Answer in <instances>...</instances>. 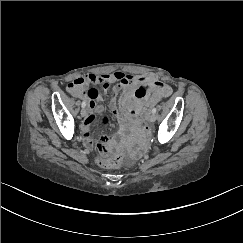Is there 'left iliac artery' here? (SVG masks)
I'll list each match as a JSON object with an SVG mask.
<instances>
[{
	"mask_svg": "<svg viewBox=\"0 0 243 243\" xmlns=\"http://www.w3.org/2000/svg\"><path fill=\"white\" fill-rule=\"evenodd\" d=\"M156 111H157V109H156V108H153V109H152V113H153V114H155V113H156Z\"/></svg>",
	"mask_w": 243,
	"mask_h": 243,
	"instance_id": "44dca946",
	"label": "left iliac artery"
}]
</instances>
